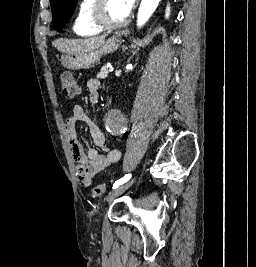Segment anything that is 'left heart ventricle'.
Instances as JSON below:
<instances>
[{
	"instance_id": "left-heart-ventricle-1",
	"label": "left heart ventricle",
	"mask_w": 256,
	"mask_h": 267,
	"mask_svg": "<svg viewBox=\"0 0 256 267\" xmlns=\"http://www.w3.org/2000/svg\"><path fill=\"white\" fill-rule=\"evenodd\" d=\"M105 17L107 22L112 26H120L125 19L120 8L114 0L107 4Z\"/></svg>"
}]
</instances>
